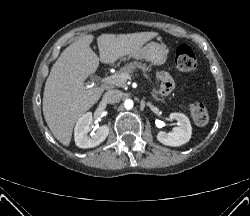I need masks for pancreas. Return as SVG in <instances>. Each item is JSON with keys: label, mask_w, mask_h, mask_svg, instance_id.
Segmentation results:
<instances>
[{"label": "pancreas", "mask_w": 250, "mask_h": 216, "mask_svg": "<svg viewBox=\"0 0 250 216\" xmlns=\"http://www.w3.org/2000/svg\"><path fill=\"white\" fill-rule=\"evenodd\" d=\"M140 69L144 72V77L146 79H148L150 81V83L152 82L149 76V73L152 71L151 66H147L145 63L142 64L140 62H131L129 64H126L123 68H121L119 71H117L115 73V75H121V74H130L133 73L136 69ZM117 87H125L126 86V81L125 82H121V83H115L114 84ZM152 97L158 101H162L164 102V99H160L157 95V91L155 89L152 90Z\"/></svg>", "instance_id": "pancreas-1"}]
</instances>
